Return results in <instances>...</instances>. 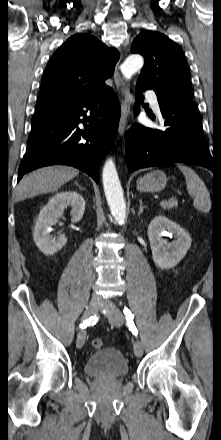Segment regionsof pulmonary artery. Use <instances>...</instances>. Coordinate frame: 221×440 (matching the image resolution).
Listing matches in <instances>:
<instances>
[{
	"label": "pulmonary artery",
	"mask_w": 221,
	"mask_h": 440,
	"mask_svg": "<svg viewBox=\"0 0 221 440\" xmlns=\"http://www.w3.org/2000/svg\"><path fill=\"white\" fill-rule=\"evenodd\" d=\"M146 97L148 98L152 108L156 111V112H160V106H159V101L157 99V96L155 94L154 91L152 90H148L145 92Z\"/></svg>",
	"instance_id": "obj_1"
}]
</instances>
